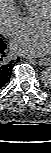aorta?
I'll return each instance as SVG.
<instances>
[{"label": "aorta", "mask_w": 51, "mask_h": 153, "mask_svg": "<svg viewBox=\"0 0 51 153\" xmlns=\"http://www.w3.org/2000/svg\"><path fill=\"white\" fill-rule=\"evenodd\" d=\"M41 80L47 86L51 84V69L47 68L42 72Z\"/></svg>", "instance_id": "1"}]
</instances>
